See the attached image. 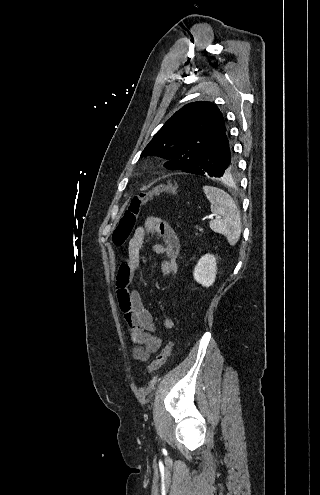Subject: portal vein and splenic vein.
Returning <instances> with one entry per match:
<instances>
[{"mask_svg":"<svg viewBox=\"0 0 320 495\" xmlns=\"http://www.w3.org/2000/svg\"><path fill=\"white\" fill-rule=\"evenodd\" d=\"M206 218H207V219H213V216H211V217H206Z\"/></svg>","mask_w":320,"mask_h":495,"instance_id":"obj_1","label":"portal vein and splenic vein"}]
</instances>
